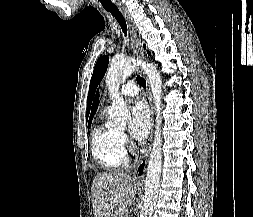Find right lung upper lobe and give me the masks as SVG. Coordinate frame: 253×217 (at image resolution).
<instances>
[{
    "label": "right lung upper lobe",
    "mask_w": 253,
    "mask_h": 217,
    "mask_svg": "<svg viewBox=\"0 0 253 217\" xmlns=\"http://www.w3.org/2000/svg\"><path fill=\"white\" fill-rule=\"evenodd\" d=\"M98 104H99V92H97V94L95 96V99H94V102H93V106H92V112H91V115H90L88 123H91L92 118H93V116L96 113V110L98 108Z\"/></svg>",
    "instance_id": "obj_1"
}]
</instances>
